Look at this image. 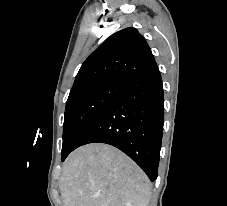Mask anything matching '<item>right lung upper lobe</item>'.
Here are the masks:
<instances>
[{
    "mask_svg": "<svg viewBox=\"0 0 227 206\" xmlns=\"http://www.w3.org/2000/svg\"><path fill=\"white\" fill-rule=\"evenodd\" d=\"M146 40L133 27L107 38L82 64L70 93L104 80L129 81L155 67Z\"/></svg>",
    "mask_w": 227,
    "mask_h": 206,
    "instance_id": "1",
    "label": "right lung upper lobe"
}]
</instances>
